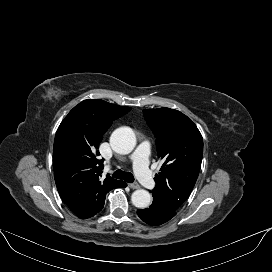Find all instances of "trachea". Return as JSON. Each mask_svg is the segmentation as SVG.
Instances as JSON below:
<instances>
[{"label":"trachea","instance_id":"trachea-1","mask_svg":"<svg viewBox=\"0 0 272 272\" xmlns=\"http://www.w3.org/2000/svg\"><path fill=\"white\" fill-rule=\"evenodd\" d=\"M112 176L117 179H122L128 183H132L134 181V177L130 172H124L120 169L115 171Z\"/></svg>","mask_w":272,"mask_h":272}]
</instances>
